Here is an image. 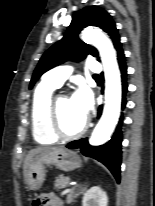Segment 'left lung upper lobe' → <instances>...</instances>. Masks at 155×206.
<instances>
[{
    "label": "left lung upper lobe",
    "mask_w": 155,
    "mask_h": 206,
    "mask_svg": "<svg viewBox=\"0 0 155 206\" xmlns=\"http://www.w3.org/2000/svg\"><path fill=\"white\" fill-rule=\"evenodd\" d=\"M87 26H97L103 29L113 41L115 49L121 46L118 30L111 16L104 9L88 6L72 16L64 37L48 49L41 57L30 82L31 89L36 81L46 71L65 61H80L87 55L98 57L97 50L78 38L80 31ZM99 60V59H98Z\"/></svg>",
    "instance_id": "left-lung-upper-lobe-1"
}]
</instances>
